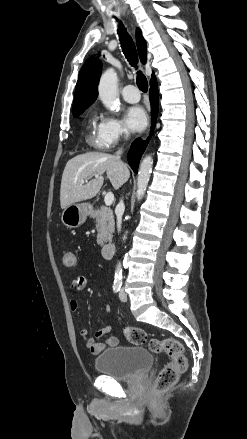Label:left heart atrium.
<instances>
[{
	"label": "left heart atrium",
	"mask_w": 247,
	"mask_h": 439,
	"mask_svg": "<svg viewBox=\"0 0 247 439\" xmlns=\"http://www.w3.org/2000/svg\"><path fill=\"white\" fill-rule=\"evenodd\" d=\"M125 121L132 131H141L147 125V116L143 108L133 106L127 109Z\"/></svg>",
	"instance_id": "1"
}]
</instances>
